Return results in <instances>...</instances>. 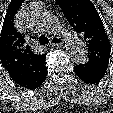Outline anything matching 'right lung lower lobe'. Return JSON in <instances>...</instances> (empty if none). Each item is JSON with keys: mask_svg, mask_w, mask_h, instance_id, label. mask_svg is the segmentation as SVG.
Here are the masks:
<instances>
[{"mask_svg": "<svg viewBox=\"0 0 113 113\" xmlns=\"http://www.w3.org/2000/svg\"><path fill=\"white\" fill-rule=\"evenodd\" d=\"M46 78V76L42 77L37 83L36 85H34L31 90L38 88L44 81V79Z\"/></svg>", "mask_w": 113, "mask_h": 113, "instance_id": "right-lung-lower-lobe-1", "label": "right lung lower lobe"}]
</instances>
